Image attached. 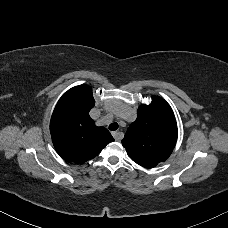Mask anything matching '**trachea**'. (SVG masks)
Segmentation results:
<instances>
[{
    "mask_svg": "<svg viewBox=\"0 0 228 228\" xmlns=\"http://www.w3.org/2000/svg\"><path fill=\"white\" fill-rule=\"evenodd\" d=\"M118 127H119L118 123L113 122V123H111V124L109 125V130L115 131V130L118 129Z\"/></svg>",
    "mask_w": 228,
    "mask_h": 228,
    "instance_id": "trachea-1",
    "label": "trachea"
}]
</instances>
